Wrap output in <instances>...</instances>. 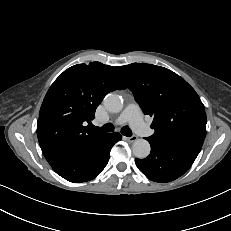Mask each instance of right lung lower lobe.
<instances>
[{"instance_id": "obj_1", "label": "right lung lower lobe", "mask_w": 231, "mask_h": 231, "mask_svg": "<svg viewBox=\"0 0 231 231\" xmlns=\"http://www.w3.org/2000/svg\"><path fill=\"white\" fill-rule=\"evenodd\" d=\"M122 136L118 132L105 134L90 148L52 164L53 170L70 182H85L95 178L107 165L112 146Z\"/></svg>"}]
</instances>
